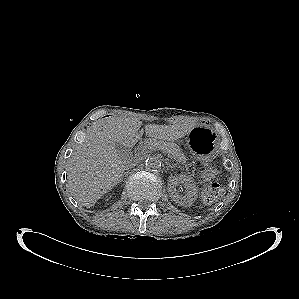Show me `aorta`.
Returning <instances> with one entry per match:
<instances>
[{
  "label": "aorta",
  "instance_id": "obj_1",
  "mask_svg": "<svg viewBox=\"0 0 299 299\" xmlns=\"http://www.w3.org/2000/svg\"><path fill=\"white\" fill-rule=\"evenodd\" d=\"M162 161L158 157H148L145 161V168L148 171H157L161 169Z\"/></svg>",
  "mask_w": 299,
  "mask_h": 299
}]
</instances>
